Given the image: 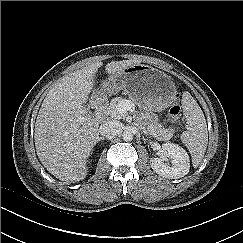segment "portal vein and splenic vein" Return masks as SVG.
<instances>
[{"mask_svg": "<svg viewBox=\"0 0 243 243\" xmlns=\"http://www.w3.org/2000/svg\"><path fill=\"white\" fill-rule=\"evenodd\" d=\"M132 109H134V104L129 100H127L126 102H123V103H119L117 106V110L120 113H126L127 111H130Z\"/></svg>", "mask_w": 243, "mask_h": 243, "instance_id": "1", "label": "portal vein and splenic vein"}]
</instances>
